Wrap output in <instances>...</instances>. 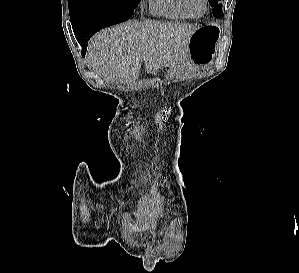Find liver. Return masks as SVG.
Listing matches in <instances>:
<instances>
[{"label": "liver", "instance_id": "obj_1", "mask_svg": "<svg viewBox=\"0 0 299 273\" xmlns=\"http://www.w3.org/2000/svg\"><path fill=\"white\" fill-rule=\"evenodd\" d=\"M198 25L127 22L97 33L89 42L93 70L113 81L138 79L141 63L147 70L190 66L189 39Z\"/></svg>", "mask_w": 299, "mask_h": 273}]
</instances>
